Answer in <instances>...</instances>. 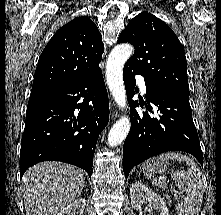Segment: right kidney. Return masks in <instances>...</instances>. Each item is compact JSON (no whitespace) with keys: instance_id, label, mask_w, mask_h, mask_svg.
Instances as JSON below:
<instances>
[{"instance_id":"ca27d5eb","label":"right kidney","mask_w":221,"mask_h":215,"mask_svg":"<svg viewBox=\"0 0 221 215\" xmlns=\"http://www.w3.org/2000/svg\"><path fill=\"white\" fill-rule=\"evenodd\" d=\"M85 205L86 200L84 198H79L61 210L58 215H83Z\"/></svg>"}]
</instances>
